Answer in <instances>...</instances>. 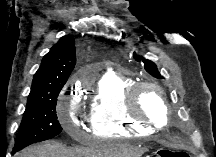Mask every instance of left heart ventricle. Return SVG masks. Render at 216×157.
I'll return each mask as SVG.
<instances>
[{"instance_id": "left-heart-ventricle-1", "label": "left heart ventricle", "mask_w": 216, "mask_h": 157, "mask_svg": "<svg viewBox=\"0 0 216 157\" xmlns=\"http://www.w3.org/2000/svg\"><path fill=\"white\" fill-rule=\"evenodd\" d=\"M140 107L142 111L151 117L157 124H164L165 113L156 91L145 89L140 97Z\"/></svg>"}]
</instances>
